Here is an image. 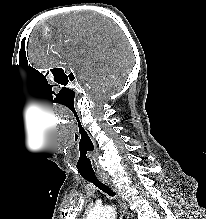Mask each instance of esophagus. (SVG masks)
I'll return each instance as SVG.
<instances>
[{"mask_svg":"<svg viewBox=\"0 0 206 219\" xmlns=\"http://www.w3.org/2000/svg\"><path fill=\"white\" fill-rule=\"evenodd\" d=\"M98 178L100 179V181H102L104 184L109 186L114 191V193L117 196V199H118V201L120 203V206H121V208L123 210V213H124L126 219H133L132 213L130 212V210L128 208V204L126 203L124 198L121 196V193L118 190V188L116 187V185L113 183L112 178H110V176L107 175V174H99Z\"/></svg>","mask_w":206,"mask_h":219,"instance_id":"34e87169","label":"esophagus"}]
</instances>
